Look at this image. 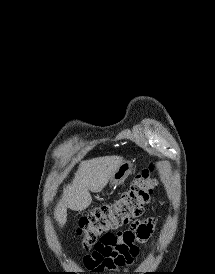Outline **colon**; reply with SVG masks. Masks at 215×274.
I'll list each match as a JSON object with an SVG mask.
<instances>
[{
	"mask_svg": "<svg viewBox=\"0 0 215 274\" xmlns=\"http://www.w3.org/2000/svg\"><path fill=\"white\" fill-rule=\"evenodd\" d=\"M153 165L135 176L130 188L112 203L97 207L80 219L77 234L84 248L94 246L105 234L129 224L144 214L157 180L153 177Z\"/></svg>",
	"mask_w": 215,
	"mask_h": 274,
	"instance_id": "1",
	"label": "colon"
}]
</instances>
